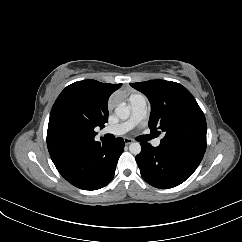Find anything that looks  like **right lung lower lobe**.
Wrapping results in <instances>:
<instances>
[{
  "mask_svg": "<svg viewBox=\"0 0 242 242\" xmlns=\"http://www.w3.org/2000/svg\"><path fill=\"white\" fill-rule=\"evenodd\" d=\"M124 151V140L92 142L54 162L59 173L72 185L84 190L100 189L113 179Z\"/></svg>",
  "mask_w": 242,
  "mask_h": 242,
  "instance_id": "1",
  "label": "right lung lower lobe"
}]
</instances>
